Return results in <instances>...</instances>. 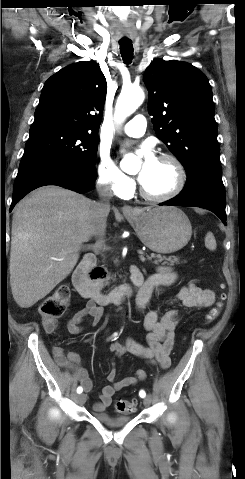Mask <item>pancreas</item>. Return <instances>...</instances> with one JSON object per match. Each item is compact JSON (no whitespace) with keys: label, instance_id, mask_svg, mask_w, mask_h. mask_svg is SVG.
<instances>
[{"label":"pancreas","instance_id":"cf45deb5","mask_svg":"<svg viewBox=\"0 0 245 479\" xmlns=\"http://www.w3.org/2000/svg\"><path fill=\"white\" fill-rule=\"evenodd\" d=\"M149 260H152V258H148ZM142 261H145V258H141ZM162 264H167L173 266L174 264H179V258L176 256H169V257H162L161 255H155L154 261H152L154 264L158 265L159 263ZM110 275H107V277L104 279V282L107 283L108 280L110 279Z\"/></svg>","mask_w":245,"mask_h":479}]
</instances>
